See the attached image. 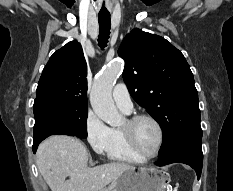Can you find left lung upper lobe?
Listing matches in <instances>:
<instances>
[{
	"label": "left lung upper lobe",
	"mask_w": 233,
	"mask_h": 191,
	"mask_svg": "<svg viewBox=\"0 0 233 191\" xmlns=\"http://www.w3.org/2000/svg\"><path fill=\"white\" fill-rule=\"evenodd\" d=\"M118 55L133 99L145 107L163 132L161 157L181 140L202 136L198 93L183 54L161 36L133 29Z\"/></svg>",
	"instance_id": "obj_1"
}]
</instances>
